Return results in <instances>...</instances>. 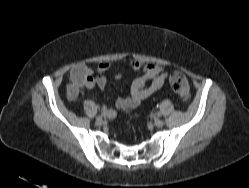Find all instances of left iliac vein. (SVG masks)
<instances>
[{
  "label": "left iliac vein",
  "mask_w": 249,
  "mask_h": 188,
  "mask_svg": "<svg viewBox=\"0 0 249 188\" xmlns=\"http://www.w3.org/2000/svg\"><path fill=\"white\" fill-rule=\"evenodd\" d=\"M154 125H155L156 127L161 128V127H163V125H164V121L161 120V119H155Z\"/></svg>",
  "instance_id": "obj_1"
}]
</instances>
